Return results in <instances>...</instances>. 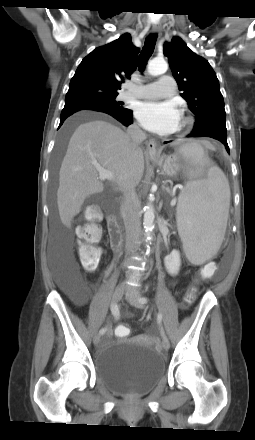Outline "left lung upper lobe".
<instances>
[{
	"instance_id": "left-lung-upper-lobe-1",
	"label": "left lung upper lobe",
	"mask_w": 255,
	"mask_h": 440,
	"mask_svg": "<svg viewBox=\"0 0 255 440\" xmlns=\"http://www.w3.org/2000/svg\"><path fill=\"white\" fill-rule=\"evenodd\" d=\"M164 55L178 84L181 96L195 115L193 131L226 129L224 99L217 76L207 60L198 56L181 38L164 44Z\"/></svg>"
}]
</instances>
